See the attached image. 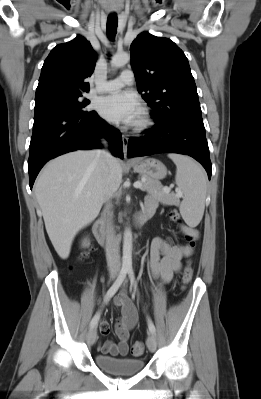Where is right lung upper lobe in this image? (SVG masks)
Returning a JSON list of instances; mask_svg holds the SVG:
<instances>
[{"label": "right lung upper lobe", "instance_id": "obj_1", "mask_svg": "<svg viewBox=\"0 0 261 399\" xmlns=\"http://www.w3.org/2000/svg\"><path fill=\"white\" fill-rule=\"evenodd\" d=\"M96 60L90 42L80 35L57 45L44 61L35 100L87 92L89 83L84 80L93 73Z\"/></svg>", "mask_w": 261, "mask_h": 399}]
</instances>
